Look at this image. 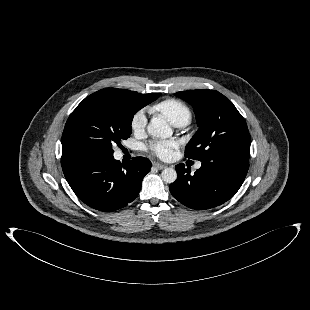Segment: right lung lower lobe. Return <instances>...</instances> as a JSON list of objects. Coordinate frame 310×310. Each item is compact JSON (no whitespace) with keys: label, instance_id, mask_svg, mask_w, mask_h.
<instances>
[{"label":"right lung lower lobe","instance_id":"obj_1","mask_svg":"<svg viewBox=\"0 0 310 310\" xmlns=\"http://www.w3.org/2000/svg\"><path fill=\"white\" fill-rule=\"evenodd\" d=\"M61 165L76 196L103 212L118 210L132 202L152 166L144 157L120 163L109 151L62 153Z\"/></svg>","mask_w":310,"mask_h":310}]
</instances>
